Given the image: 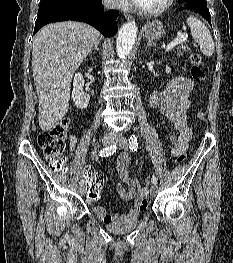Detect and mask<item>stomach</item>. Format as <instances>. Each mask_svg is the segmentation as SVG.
<instances>
[{"label":"stomach","mask_w":233,"mask_h":263,"mask_svg":"<svg viewBox=\"0 0 233 263\" xmlns=\"http://www.w3.org/2000/svg\"><path fill=\"white\" fill-rule=\"evenodd\" d=\"M164 33V27L158 20L152 21L144 27V35L148 40L160 39Z\"/></svg>","instance_id":"1"}]
</instances>
